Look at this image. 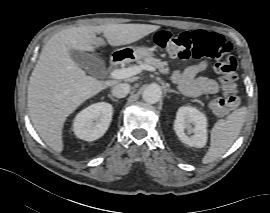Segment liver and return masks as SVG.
<instances>
[{"instance_id": "obj_1", "label": "liver", "mask_w": 270, "mask_h": 213, "mask_svg": "<svg viewBox=\"0 0 270 213\" xmlns=\"http://www.w3.org/2000/svg\"><path fill=\"white\" fill-rule=\"evenodd\" d=\"M149 24H107L71 27L53 35L44 45L31 74L27 105L34 128L55 152L63 150L62 131L67 117L87 99L118 81H100L86 75L71 58L70 50L94 51L103 46L97 34L103 33L111 46L138 41L157 31Z\"/></svg>"}]
</instances>
